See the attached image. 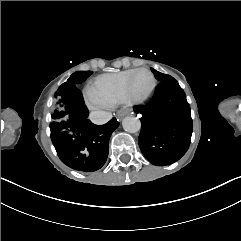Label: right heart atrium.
Returning <instances> with one entry per match:
<instances>
[{"instance_id":"1","label":"right heart atrium","mask_w":241,"mask_h":241,"mask_svg":"<svg viewBox=\"0 0 241 241\" xmlns=\"http://www.w3.org/2000/svg\"><path fill=\"white\" fill-rule=\"evenodd\" d=\"M87 104H88L92 109H97V110L105 109V108L107 107L106 104H104L103 102L98 101V100H89V99H87Z\"/></svg>"}]
</instances>
